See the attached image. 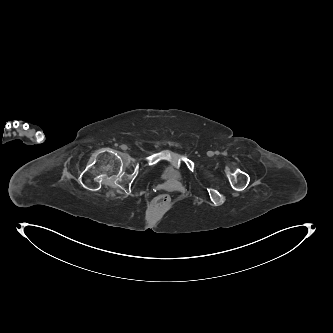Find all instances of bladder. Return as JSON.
I'll return each mask as SVG.
<instances>
[{
	"instance_id": "1",
	"label": "bladder",
	"mask_w": 333,
	"mask_h": 333,
	"mask_svg": "<svg viewBox=\"0 0 333 333\" xmlns=\"http://www.w3.org/2000/svg\"><path fill=\"white\" fill-rule=\"evenodd\" d=\"M160 175L168 185H175L183 179L181 167L173 161H167L161 166Z\"/></svg>"
}]
</instances>
